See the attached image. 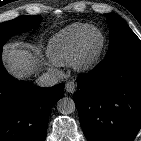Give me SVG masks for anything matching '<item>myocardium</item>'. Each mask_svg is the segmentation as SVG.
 I'll return each instance as SVG.
<instances>
[{
  "label": "myocardium",
  "instance_id": "f54148a6",
  "mask_svg": "<svg viewBox=\"0 0 141 141\" xmlns=\"http://www.w3.org/2000/svg\"><path fill=\"white\" fill-rule=\"evenodd\" d=\"M100 35V44L93 52L89 51L88 42L91 34ZM106 45V39L101 30L91 27L83 36L76 57L73 61L74 67L79 71H89L99 62Z\"/></svg>",
  "mask_w": 141,
  "mask_h": 141
}]
</instances>
